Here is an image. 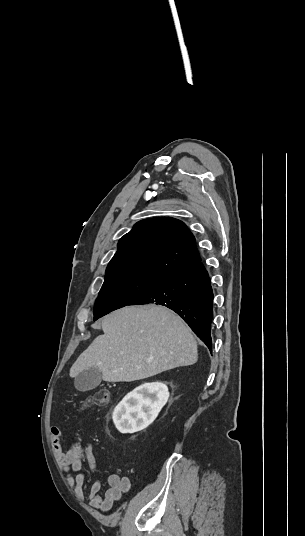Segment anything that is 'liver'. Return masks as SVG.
I'll use <instances>...</instances> for the list:
<instances>
[{
    "mask_svg": "<svg viewBox=\"0 0 305 536\" xmlns=\"http://www.w3.org/2000/svg\"><path fill=\"white\" fill-rule=\"evenodd\" d=\"M102 330L71 366L70 378L99 368L104 382H135L197 362L190 328L165 306L121 308L103 318Z\"/></svg>",
    "mask_w": 305,
    "mask_h": 536,
    "instance_id": "liver-1",
    "label": "liver"
}]
</instances>
